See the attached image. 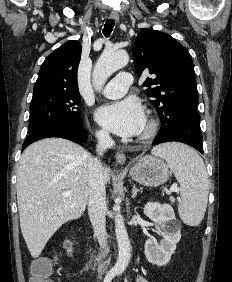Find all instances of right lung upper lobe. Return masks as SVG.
<instances>
[{
  "label": "right lung upper lobe",
  "instance_id": "1",
  "mask_svg": "<svg viewBox=\"0 0 232 282\" xmlns=\"http://www.w3.org/2000/svg\"><path fill=\"white\" fill-rule=\"evenodd\" d=\"M81 59V46L70 41L54 50L42 64L33 92L70 91L79 92L77 69Z\"/></svg>",
  "mask_w": 232,
  "mask_h": 282
}]
</instances>
